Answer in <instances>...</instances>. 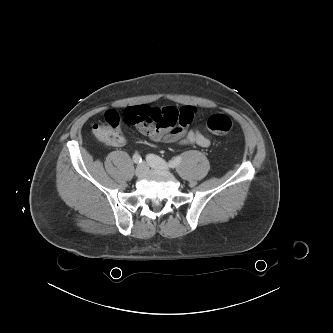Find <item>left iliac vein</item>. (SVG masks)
Listing matches in <instances>:
<instances>
[{
	"instance_id": "4c4485c4",
	"label": "left iliac vein",
	"mask_w": 333,
	"mask_h": 333,
	"mask_svg": "<svg viewBox=\"0 0 333 333\" xmlns=\"http://www.w3.org/2000/svg\"><path fill=\"white\" fill-rule=\"evenodd\" d=\"M147 162L150 165V167L154 169H161L167 172L170 170L168 164L157 156L149 155L147 157Z\"/></svg>"
}]
</instances>
